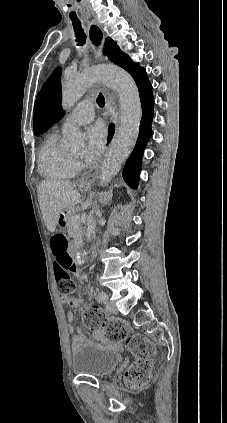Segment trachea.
Returning a JSON list of instances; mask_svg holds the SVG:
<instances>
[{
    "instance_id": "3493384b",
    "label": "trachea",
    "mask_w": 227,
    "mask_h": 423,
    "mask_svg": "<svg viewBox=\"0 0 227 423\" xmlns=\"http://www.w3.org/2000/svg\"><path fill=\"white\" fill-rule=\"evenodd\" d=\"M71 20H72V24H73V27H74V33H75V36H76V42H77V44L79 46H82L86 42V35H85V33H84L83 29H82L81 22H80V20H78L76 18H72ZM96 101H97V104L100 107H104V105H105V98H104V96H103L102 93H99Z\"/></svg>"
}]
</instances>
